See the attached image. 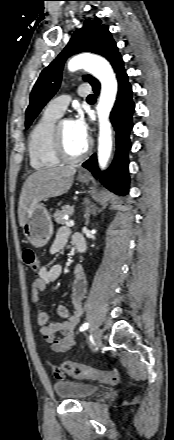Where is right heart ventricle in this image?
Here are the masks:
<instances>
[{
	"instance_id": "right-heart-ventricle-1",
	"label": "right heart ventricle",
	"mask_w": 174,
	"mask_h": 440,
	"mask_svg": "<svg viewBox=\"0 0 174 440\" xmlns=\"http://www.w3.org/2000/svg\"><path fill=\"white\" fill-rule=\"evenodd\" d=\"M59 116L45 110L30 131L28 153L36 170L54 168L62 162L54 151L55 121Z\"/></svg>"
}]
</instances>
